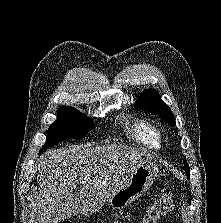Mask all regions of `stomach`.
Returning <instances> with one entry per match:
<instances>
[{"mask_svg": "<svg viewBox=\"0 0 221 223\" xmlns=\"http://www.w3.org/2000/svg\"><path fill=\"white\" fill-rule=\"evenodd\" d=\"M159 169L155 164L138 166L125 184L109 199L112 208L122 210L144 194L157 178Z\"/></svg>", "mask_w": 221, "mask_h": 223, "instance_id": "0dacf381", "label": "stomach"}]
</instances>
